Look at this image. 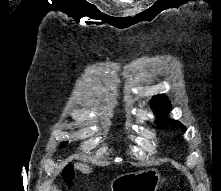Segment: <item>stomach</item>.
Returning <instances> with one entry per match:
<instances>
[{"mask_svg":"<svg viewBox=\"0 0 221 191\" xmlns=\"http://www.w3.org/2000/svg\"><path fill=\"white\" fill-rule=\"evenodd\" d=\"M160 173L156 169L131 172L112 181V191H157Z\"/></svg>","mask_w":221,"mask_h":191,"instance_id":"obj_1","label":"stomach"}]
</instances>
